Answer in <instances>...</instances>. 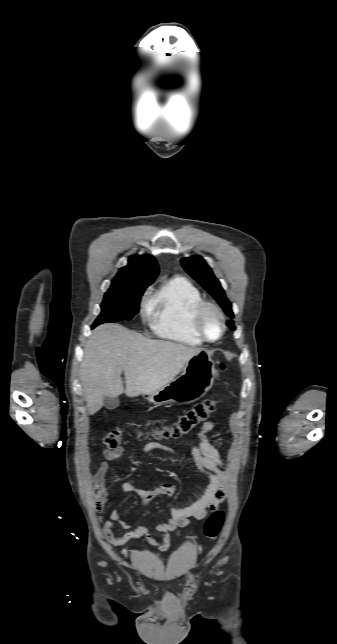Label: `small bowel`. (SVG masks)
<instances>
[{"instance_id":"obj_1","label":"small bowel","mask_w":337,"mask_h":644,"mask_svg":"<svg viewBox=\"0 0 337 644\" xmlns=\"http://www.w3.org/2000/svg\"><path fill=\"white\" fill-rule=\"evenodd\" d=\"M212 421L205 422L199 433L198 443L191 445V453L197 469L202 472L209 480V485L202 496L190 506L184 508L166 507L168 520L165 523L157 524L153 528L148 526H133V521L122 518L118 510H113L109 520L103 526L104 537L113 545H122L127 541H137L141 539L154 543L158 550L164 551L170 545V532L177 528L186 527L192 519L202 520L208 513L215 511L225 499V470L224 463L217 449L209 442L207 434L214 428ZM155 450L164 451L174 457L176 451L170 446L151 441L143 446V452L150 454ZM126 449L118 446L114 449H105V460L100 464L95 480L99 484H104L106 476L111 470V462L120 458ZM123 490L128 493H134L141 497L146 504L160 496H172L176 492V485L173 483H161L151 489H142L125 482ZM115 524H119L123 529L128 530L125 534H118L115 530ZM158 533L159 536H155Z\"/></svg>"}]
</instances>
